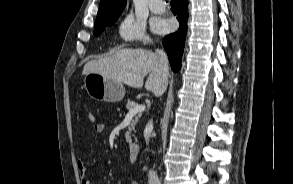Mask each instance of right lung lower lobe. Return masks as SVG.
Listing matches in <instances>:
<instances>
[{"instance_id": "98d812e1", "label": "right lung lower lobe", "mask_w": 293, "mask_h": 184, "mask_svg": "<svg viewBox=\"0 0 293 184\" xmlns=\"http://www.w3.org/2000/svg\"><path fill=\"white\" fill-rule=\"evenodd\" d=\"M171 10L177 15L180 27L177 32L164 38L163 46L168 54L172 70L178 72L187 32L188 0H171Z\"/></svg>"}]
</instances>
